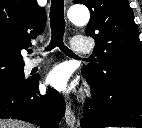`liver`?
Wrapping results in <instances>:
<instances>
[{
    "label": "liver",
    "instance_id": "1",
    "mask_svg": "<svg viewBox=\"0 0 142 128\" xmlns=\"http://www.w3.org/2000/svg\"><path fill=\"white\" fill-rule=\"evenodd\" d=\"M0 128H36L30 123L14 119H0Z\"/></svg>",
    "mask_w": 142,
    "mask_h": 128
}]
</instances>
